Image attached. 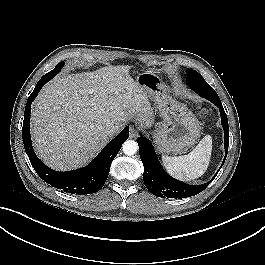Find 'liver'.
<instances>
[{
	"mask_svg": "<svg viewBox=\"0 0 265 265\" xmlns=\"http://www.w3.org/2000/svg\"><path fill=\"white\" fill-rule=\"evenodd\" d=\"M129 66L61 76L39 93L31 113L33 146L46 165L66 171L87 164L131 119L150 126L154 115Z\"/></svg>",
	"mask_w": 265,
	"mask_h": 265,
	"instance_id": "obj_1",
	"label": "liver"
}]
</instances>
